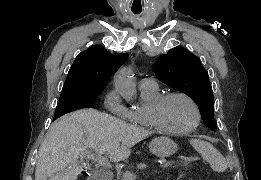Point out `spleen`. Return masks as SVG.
<instances>
[{
    "label": "spleen",
    "instance_id": "spleen-1",
    "mask_svg": "<svg viewBox=\"0 0 261 180\" xmlns=\"http://www.w3.org/2000/svg\"><path fill=\"white\" fill-rule=\"evenodd\" d=\"M190 144L198 154H201L203 160L210 164L214 172H225L227 170V162L224 156L212 144L204 142V140H190Z\"/></svg>",
    "mask_w": 261,
    "mask_h": 180
}]
</instances>
